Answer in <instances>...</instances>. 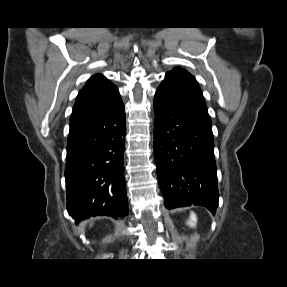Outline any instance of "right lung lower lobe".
<instances>
[{
	"instance_id": "right-lung-lower-lobe-1",
	"label": "right lung lower lobe",
	"mask_w": 287,
	"mask_h": 287,
	"mask_svg": "<svg viewBox=\"0 0 287 287\" xmlns=\"http://www.w3.org/2000/svg\"><path fill=\"white\" fill-rule=\"evenodd\" d=\"M125 111L112 107L70 119L65 167L67 210L76 222L128 214L124 180Z\"/></svg>"
}]
</instances>
